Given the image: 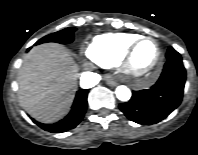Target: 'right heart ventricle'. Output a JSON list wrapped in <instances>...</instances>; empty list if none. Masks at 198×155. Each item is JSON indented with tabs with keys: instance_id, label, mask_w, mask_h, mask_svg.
I'll use <instances>...</instances> for the list:
<instances>
[{
	"instance_id": "obj_1",
	"label": "right heart ventricle",
	"mask_w": 198,
	"mask_h": 155,
	"mask_svg": "<svg viewBox=\"0 0 198 155\" xmlns=\"http://www.w3.org/2000/svg\"><path fill=\"white\" fill-rule=\"evenodd\" d=\"M138 37L134 33H107L95 36L89 43L86 53L88 57L103 67H114L128 46Z\"/></svg>"
}]
</instances>
